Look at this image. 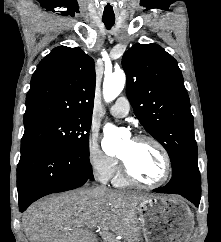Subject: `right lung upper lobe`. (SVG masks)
Returning <instances> with one entry per match:
<instances>
[{
    "label": "right lung upper lobe",
    "mask_w": 221,
    "mask_h": 242,
    "mask_svg": "<svg viewBox=\"0 0 221 242\" xmlns=\"http://www.w3.org/2000/svg\"><path fill=\"white\" fill-rule=\"evenodd\" d=\"M95 80L94 61L80 48H54L32 75L24 126L48 119L92 117Z\"/></svg>",
    "instance_id": "obj_1"
}]
</instances>
